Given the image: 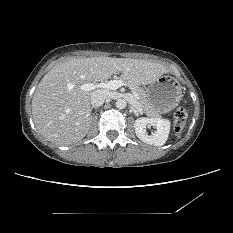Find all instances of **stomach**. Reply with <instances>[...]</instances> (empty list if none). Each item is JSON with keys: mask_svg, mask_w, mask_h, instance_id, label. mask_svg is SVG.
<instances>
[{"mask_svg": "<svg viewBox=\"0 0 233 233\" xmlns=\"http://www.w3.org/2000/svg\"><path fill=\"white\" fill-rule=\"evenodd\" d=\"M146 98L156 112L168 113L176 108L182 98L181 84L172 76H161L146 88Z\"/></svg>", "mask_w": 233, "mask_h": 233, "instance_id": "0dacf381", "label": "stomach"}]
</instances>
